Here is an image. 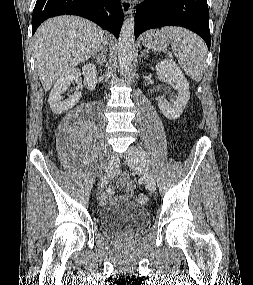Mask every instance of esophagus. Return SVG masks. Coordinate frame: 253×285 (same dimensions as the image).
I'll return each instance as SVG.
<instances>
[{
    "label": "esophagus",
    "mask_w": 253,
    "mask_h": 285,
    "mask_svg": "<svg viewBox=\"0 0 253 285\" xmlns=\"http://www.w3.org/2000/svg\"><path fill=\"white\" fill-rule=\"evenodd\" d=\"M122 9L125 15H128L132 12V5L128 0H121Z\"/></svg>",
    "instance_id": "34e87169"
}]
</instances>
